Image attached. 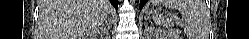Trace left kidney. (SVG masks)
<instances>
[{
	"mask_svg": "<svg viewBox=\"0 0 249 39\" xmlns=\"http://www.w3.org/2000/svg\"><path fill=\"white\" fill-rule=\"evenodd\" d=\"M173 35H167L166 32H163L161 30H156L155 31V39H172Z\"/></svg>",
	"mask_w": 249,
	"mask_h": 39,
	"instance_id": "left-kidney-1",
	"label": "left kidney"
}]
</instances>
